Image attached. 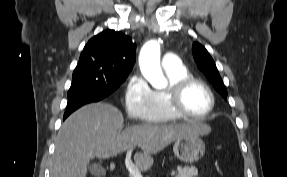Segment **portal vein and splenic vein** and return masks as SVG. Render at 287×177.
<instances>
[{"label":"portal vein and splenic vein","instance_id":"18ae733b","mask_svg":"<svg viewBox=\"0 0 287 177\" xmlns=\"http://www.w3.org/2000/svg\"><path fill=\"white\" fill-rule=\"evenodd\" d=\"M132 151H133L132 148L127 150L125 158V166L132 177H143L138 167L135 166V164L131 160Z\"/></svg>","mask_w":287,"mask_h":177}]
</instances>
